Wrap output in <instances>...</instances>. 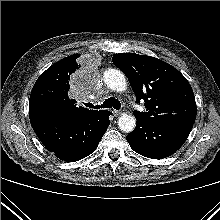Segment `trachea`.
Listing matches in <instances>:
<instances>
[{"mask_svg":"<svg viewBox=\"0 0 220 220\" xmlns=\"http://www.w3.org/2000/svg\"><path fill=\"white\" fill-rule=\"evenodd\" d=\"M87 107L94 108V109H100V108H114L116 110H119L121 108V103L118 99H115L113 97L106 99L103 104L94 106L91 103H85Z\"/></svg>","mask_w":220,"mask_h":220,"instance_id":"trachea-1","label":"trachea"}]
</instances>
